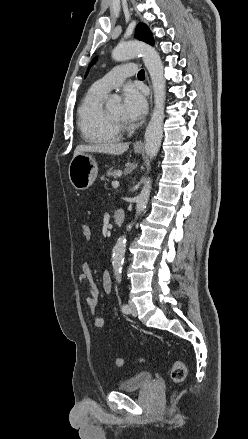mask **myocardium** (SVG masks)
I'll list each match as a JSON object with an SVG mask.
<instances>
[{
  "mask_svg": "<svg viewBox=\"0 0 248 439\" xmlns=\"http://www.w3.org/2000/svg\"><path fill=\"white\" fill-rule=\"evenodd\" d=\"M103 117L109 127H111L115 131L125 132L130 129V125L127 122L112 118L105 109H103Z\"/></svg>",
  "mask_w": 248,
  "mask_h": 439,
  "instance_id": "1",
  "label": "myocardium"
}]
</instances>
